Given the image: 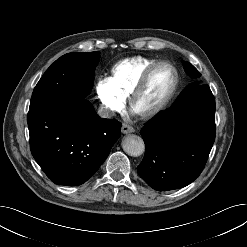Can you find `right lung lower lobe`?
Returning a JSON list of instances; mask_svg holds the SVG:
<instances>
[{"instance_id":"obj_1","label":"right lung lower lobe","mask_w":247,"mask_h":247,"mask_svg":"<svg viewBox=\"0 0 247 247\" xmlns=\"http://www.w3.org/2000/svg\"><path fill=\"white\" fill-rule=\"evenodd\" d=\"M28 128L34 159L52 182L65 186L86 182L121 134V123L100 118L85 98L29 107Z\"/></svg>"}]
</instances>
